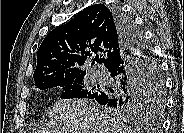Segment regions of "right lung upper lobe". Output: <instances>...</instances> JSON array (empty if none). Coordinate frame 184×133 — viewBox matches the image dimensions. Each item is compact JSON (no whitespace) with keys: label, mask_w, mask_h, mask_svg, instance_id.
<instances>
[{"label":"right lung upper lobe","mask_w":184,"mask_h":133,"mask_svg":"<svg viewBox=\"0 0 184 133\" xmlns=\"http://www.w3.org/2000/svg\"><path fill=\"white\" fill-rule=\"evenodd\" d=\"M122 48L114 12L104 4L86 7L67 24L53 29L44 38L37 53L35 83L47 77H80L88 57L107 66ZM100 54V58H99Z\"/></svg>","instance_id":"obj_1"}]
</instances>
